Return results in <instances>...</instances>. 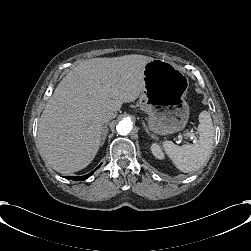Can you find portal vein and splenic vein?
I'll use <instances>...</instances> for the list:
<instances>
[{"mask_svg": "<svg viewBox=\"0 0 251 251\" xmlns=\"http://www.w3.org/2000/svg\"><path fill=\"white\" fill-rule=\"evenodd\" d=\"M186 135H187V136H191V139H192V140H195V139H196V133H195V132H192L191 135H190V133H187ZM179 142H180V141H179Z\"/></svg>", "mask_w": 251, "mask_h": 251, "instance_id": "portal-vein-and-splenic-vein-1", "label": "portal vein and splenic vein"}]
</instances>
